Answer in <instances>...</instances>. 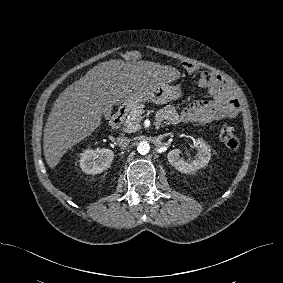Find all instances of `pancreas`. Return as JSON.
Returning <instances> with one entry per match:
<instances>
[{
  "label": "pancreas",
  "instance_id": "1",
  "mask_svg": "<svg viewBox=\"0 0 283 283\" xmlns=\"http://www.w3.org/2000/svg\"><path fill=\"white\" fill-rule=\"evenodd\" d=\"M144 107V104H138L131 109L122 128L124 132L133 133L141 128L140 122L142 120L141 115L144 113Z\"/></svg>",
  "mask_w": 283,
  "mask_h": 283
}]
</instances>
